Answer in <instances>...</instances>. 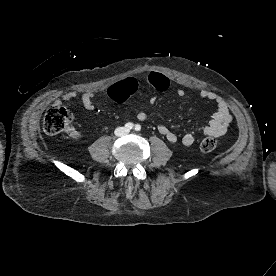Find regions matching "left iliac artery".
<instances>
[{"mask_svg":"<svg viewBox=\"0 0 276 276\" xmlns=\"http://www.w3.org/2000/svg\"><path fill=\"white\" fill-rule=\"evenodd\" d=\"M136 131H140L141 130V126L139 124L135 125V128H134Z\"/></svg>","mask_w":276,"mask_h":276,"instance_id":"left-iliac-artery-1","label":"left iliac artery"}]
</instances>
